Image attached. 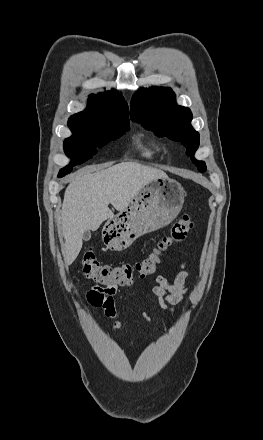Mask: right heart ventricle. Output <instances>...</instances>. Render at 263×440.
I'll return each instance as SVG.
<instances>
[{
    "instance_id": "obj_1",
    "label": "right heart ventricle",
    "mask_w": 263,
    "mask_h": 440,
    "mask_svg": "<svg viewBox=\"0 0 263 440\" xmlns=\"http://www.w3.org/2000/svg\"><path fill=\"white\" fill-rule=\"evenodd\" d=\"M135 142L144 157L151 158L159 151L158 146L153 141L145 140L140 134L135 137Z\"/></svg>"
}]
</instances>
